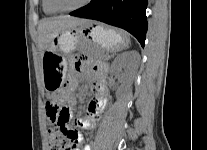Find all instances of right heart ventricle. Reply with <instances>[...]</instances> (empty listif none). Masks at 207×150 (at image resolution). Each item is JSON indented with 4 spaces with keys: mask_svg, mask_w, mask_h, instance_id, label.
Returning <instances> with one entry per match:
<instances>
[{
    "mask_svg": "<svg viewBox=\"0 0 207 150\" xmlns=\"http://www.w3.org/2000/svg\"><path fill=\"white\" fill-rule=\"evenodd\" d=\"M42 8L47 15H56L58 13V11L52 7L49 0H42Z\"/></svg>",
    "mask_w": 207,
    "mask_h": 150,
    "instance_id": "1",
    "label": "right heart ventricle"
}]
</instances>
